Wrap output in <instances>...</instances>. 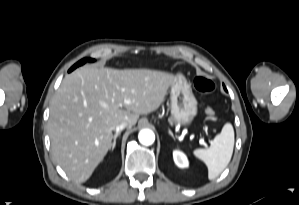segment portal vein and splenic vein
I'll return each instance as SVG.
<instances>
[{
    "label": "portal vein and splenic vein",
    "mask_w": 299,
    "mask_h": 205,
    "mask_svg": "<svg viewBox=\"0 0 299 205\" xmlns=\"http://www.w3.org/2000/svg\"><path fill=\"white\" fill-rule=\"evenodd\" d=\"M200 143L203 144L205 147H207V144L204 142V140H200Z\"/></svg>",
    "instance_id": "portal-vein-and-splenic-vein-1"
}]
</instances>
